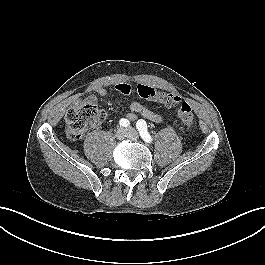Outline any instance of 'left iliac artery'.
<instances>
[{"mask_svg": "<svg viewBox=\"0 0 265 265\" xmlns=\"http://www.w3.org/2000/svg\"><path fill=\"white\" fill-rule=\"evenodd\" d=\"M136 127L140 133V136L142 137V139L147 142V143H151L152 142V138L147 130V124L144 120L140 119L137 121L136 123Z\"/></svg>", "mask_w": 265, "mask_h": 265, "instance_id": "1", "label": "left iliac artery"}]
</instances>
